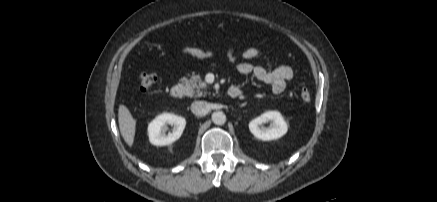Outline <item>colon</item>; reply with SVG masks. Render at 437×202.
<instances>
[{
	"label": "colon",
	"instance_id": "1",
	"mask_svg": "<svg viewBox=\"0 0 437 202\" xmlns=\"http://www.w3.org/2000/svg\"><path fill=\"white\" fill-rule=\"evenodd\" d=\"M157 82V77L155 74L143 72L138 76V86L140 91L148 92L151 90ZM300 98L304 103H309L311 101V92L308 88L304 87L301 89Z\"/></svg>",
	"mask_w": 437,
	"mask_h": 202
}]
</instances>
